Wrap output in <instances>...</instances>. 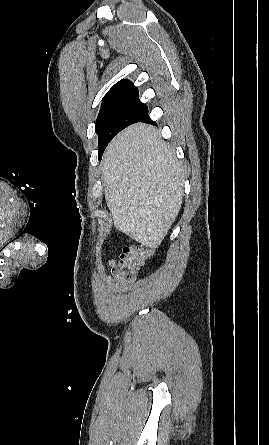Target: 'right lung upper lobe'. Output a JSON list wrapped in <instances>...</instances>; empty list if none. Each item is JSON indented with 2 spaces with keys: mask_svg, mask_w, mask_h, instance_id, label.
Returning <instances> with one entry per match:
<instances>
[{
  "mask_svg": "<svg viewBox=\"0 0 269 445\" xmlns=\"http://www.w3.org/2000/svg\"><path fill=\"white\" fill-rule=\"evenodd\" d=\"M130 89H137V87H135L130 80L123 79V80H120L119 82H117L109 90V92L107 94L112 93V92H116V91H123V90H130Z\"/></svg>",
  "mask_w": 269,
  "mask_h": 445,
  "instance_id": "right-lung-upper-lobe-1",
  "label": "right lung upper lobe"
}]
</instances>
